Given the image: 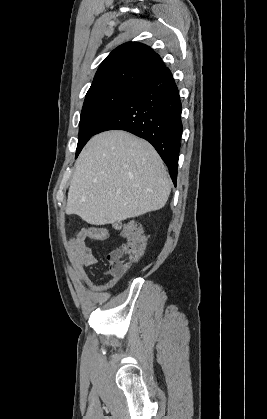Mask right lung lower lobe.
<instances>
[{"mask_svg": "<svg viewBox=\"0 0 267 419\" xmlns=\"http://www.w3.org/2000/svg\"><path fill=\"white\" fill-rule=\"evenodd\" d=\"M181 101L165 67L138 88L99 126L95 134L124 130L149 141L166 163L176 185L182 135Z\"/></svg>", "mask_w": 267, "mask_h": 419, "instance_id": "right-lung-lower-lobe-1", "label": "right lung lower lobe"}]
</instances>
